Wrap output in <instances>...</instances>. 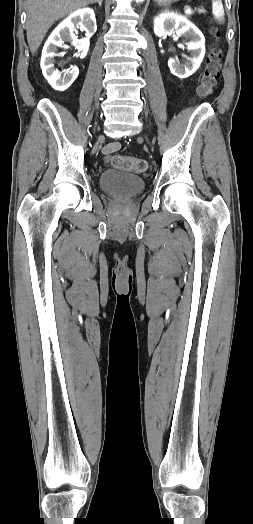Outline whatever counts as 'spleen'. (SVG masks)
<instances>
[{
	"mask_svg": "<svg viewBox=\"0 0 253 524\" xmlns=\"http://www.w3.org/2000/svg\"><path fill=\"white\" fill-rule=\"evenodd\" d=\"M212 13L219 22L224 21V9L221 0H212Z\"/></svg>",
	"mask_w": 253,
	"mask_h": 524,
	"instance_id": "spleen-1",
	"label": "spleen"
}]
</instances>
